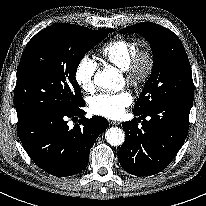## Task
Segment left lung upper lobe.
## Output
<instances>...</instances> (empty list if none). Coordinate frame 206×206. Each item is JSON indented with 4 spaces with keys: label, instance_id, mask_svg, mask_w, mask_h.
<instances>
[{
    "label": "left lung upper lobe",
    "instance_id": "1",
    "mask_svg": "<svg viewBox=\"0 0 206 206\" xmlns=\"http://www.w3.org/2000/svg\"><path fill=\"white\" fill-rule=\"evenodd\" d=\"M139 33L153 52L151 76L134 105V112H145L160 103L193 104L194 86L190 63L180 39L171 30L142 22L121 30Z\"/></svg>",
    "mask_w": 206,
    "mask_h": 206
}]
</instances>
